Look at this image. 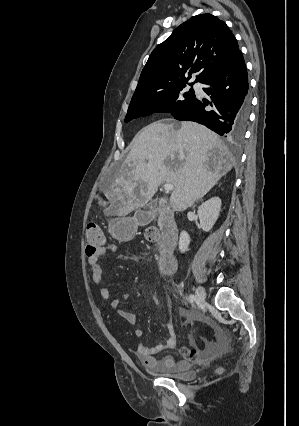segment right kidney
<instances>
[{
	"instance_id": "ca27d5eb",
	"label": "right kidney",
	"mask_w": 299,
	"mask_h": 426,
	"mask_svg": "<svg viewBox=\"0 0 299 426\" xmlns=\"http://www.w3.org/2000/svg\"><path fill=\"white\" fill-rule=\"evenodd\" d=\"M220 210L221 199L219 197H212L199 206L197 213L203 231L208 232L212 229L219 217ZM189 244V234L186 231H182L179 238V250L182 253L186 252Z\"/></svg>"
}]
</instances>
